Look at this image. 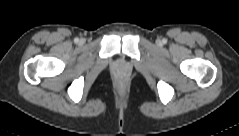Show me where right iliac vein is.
<instances>
[{
    "mask_svg": "<svg viewBox=\"0 0 239 136\" xmlns=\"http://www.w3.org/2000/svg\"><path fill=\"white\" fill-rule=\"evenodd\" d=\"M83 42V40H80V43H82Z\"/></svg>",
    "mask_w": 239,
    "mask_h": 136,
    "instance_id": "1",
    "label": "right iliac vein"
}]
</instances>
